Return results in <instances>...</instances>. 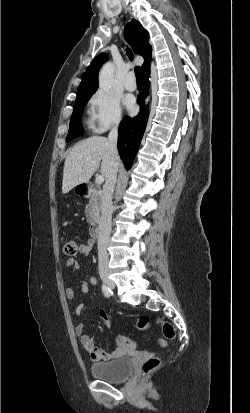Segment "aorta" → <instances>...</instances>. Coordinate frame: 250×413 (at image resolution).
Wrapping results in <instances>:
<instances>
[{
	"label": "aorta",
	"instance_id": "1",
	"mask_svg": "<svg viewBox=\"0 0 250 413\" xmlns=\"http://www.w3.org/2000/svg\"><path fill=\"white\" fill-rule=\"evenodd\" d=\"M114 83V65L107 62L99 72V87L101 90L108 92Z\"/></svg>",
	"mask_w": 250,
	"mask_h": 413
}]
</instances>
